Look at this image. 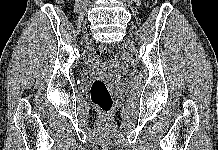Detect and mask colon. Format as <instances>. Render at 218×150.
<instances>
[{"label":"colon","instance_id":"colon-1","mask_svg":"<svg viewBox=\"0 0 218 150\" xmlns=\"http://www.w3.org/2000/svg\"><path fill=\"white\" fill-rule=\"evenodd\" d=\"M149 7H154L157 0H145ZM96 57L101 62H111L114 60V52L108 46H99L96 50ZM90 98L92 103L103 113H109L113 107V97L102 79L93 81L90 87Z\"/></svg>","mask_w":218,"mask_h":150}]
</instances>
